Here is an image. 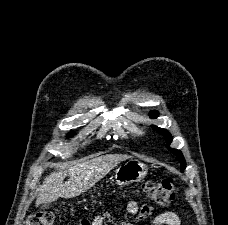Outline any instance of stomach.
<instances>
[{
  "label": "stomach",
  "mask_w": 228,
  "mask_h": 225,
  "mask_svg": "<svg viewBox=\"0 0 228 225\" xmlns=\"http://www.w3.org/2000/svg\"><path fill=\"white\" fill-rule=\"evenodd\" d=\"M148 175V167L145 163L130 159L115 171L114 179L117 185H130V183H138Z\"/></svg>",
  "instance_id": "stomach-1"
}]
</instances>
